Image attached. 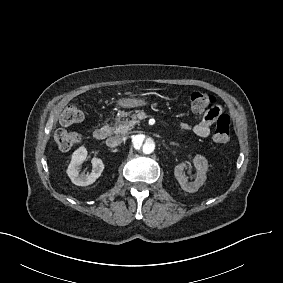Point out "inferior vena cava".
<instances>
[{
	"mask_svg": "<svg viewBox=\"0 0 283 283\" xmlns=\"http://www.w3.org/2000/svg\"><path fill=\"white\" fill-rule=\"evenodd\" d=\"M122 142L121 136H112L106 140V145L109 147H116Z\"/></svg>",
	"mask_w": 283,
	"mask_h": 283,
	"instance_id": "1",
	"label": "inferior vena cava"
}]
</instances>
